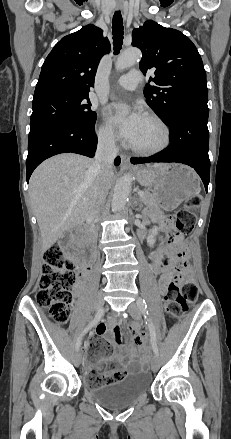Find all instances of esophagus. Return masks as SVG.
Here are the masks:
<instances>
[{"mask_svg":"<svg viewBox=\"0 0 231 439\" xmlns=\"http://www.w3.org/2000/svg\"><path fill=\"white\" fill-rule=\"evenodd\" d=\"M131 167L130 157L127 155H121V168L128 169Z\"/></svg>","mask_w":231,"mask_h":439,"instance_id":"esophagus-1","label":"esophagus"}]
</instances>
